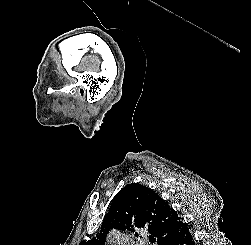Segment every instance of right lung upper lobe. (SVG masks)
Listing matches in <instances>:
<instances>
[{
	"mask_svg": "<svg viewBox=\"0 0 251 245\" xmlns=\"http://www.w3.org/2000/svg\"><path fill=\"white\" fill-rule=\"evenodd\" d=\"M185 228L187 226L175 210L156 192L145 185L131 183L114 197L96 237L79 245H105L106 236L112 229L131 232L147 230L157 238L158 245H164Z\"/></svg>",
	"mask_w": 251,
	"mask_h": 245,
	"instance_id": "cb5924a9",
	"label": "right lung upper lobe"
}]
</instances>
